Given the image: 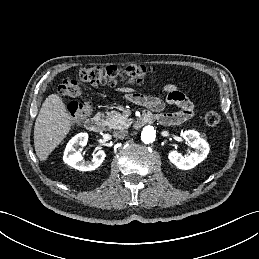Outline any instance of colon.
Listing matches in <instances>:
<instances>
[{"label": "colon", "mask_w": 259, "mask_h": 259, "mask_svg": "<svg viewBox=\"0 0 259 259\" xmlns=\"http://www.w3.org/2000/svg\"><path fill=\"white\" fill-rule=\"evenodd\" d=\"M79 80L90 85L119 84L142 85L145 82H153L156 78V70L153 67L132 65L124 68L117 66H92L79 71ZM59 92L67 97L77 98L82 95L79 82L73 78L63 80L59 86ZM92 111L89 101H73L68 106L69 115L73 123L85 120ZM205 122L209 126H215L220 122V114L216 110H210L205 114Z\"/></svg>", "instance_id": "obj_1"}]
</instances>
